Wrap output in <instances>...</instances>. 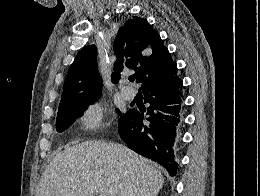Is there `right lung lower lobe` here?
Segmentation results:
<instances>
[{
    "label": "right lung lower lobe",
    "instance_id": "right-lung-lower-lobe-1",
    "mask_svg": "<svg viewBox=\"0 0 260 196\" xmlns=\"http://www.w3.org/2000/svg\"><path fill=\"white\" fill-rule=\"evenodd\" d=\"M183 82L177 69L170 75L142 86L144 113L131 109L118 123V131L127 146L164 166L171 176L178 168L175 149L180 127V109L183 101ZM144 120V122H143Z\"/></svg>",
    "mask_w": 260,
    "mask_h": 196
}]
</instances>
